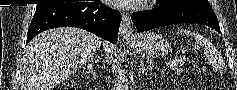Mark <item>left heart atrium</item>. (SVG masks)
I'll return each instance as SVG.
<instances>
[{"mask_svg":"<svg viewBox=\"0 0 237 90\" xmlns=\"http://www.w3.org/2000/svg\"><path fill=\"white\" fill-rule=\"evenodd\" d=\"M149 0H112V7H123L124 10H135L136 7H142V3H148Z\"/></svg>","mask_w":237,"mask_h":90,"instance_id":"39dd6f15","label":"left heart atrium"}]
</instances>
